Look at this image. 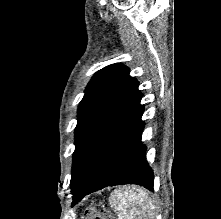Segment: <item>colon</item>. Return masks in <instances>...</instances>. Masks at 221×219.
<instances>
[{"label":"colon","mask_w":221,"mask_h":219,"mask_svg":"<svg viewBox=\"0 0 221 219\" xmlns=\"http://www.w3.org/2000/svg\"><path fill=\"white\" fill-rule=\"evenodd\" d=\"M85 219H114L110 212L101 210L98 211L94 208L87 210L85 214Z\"/></svg>","instance_id":"5ec220e1"}]
</instances>
